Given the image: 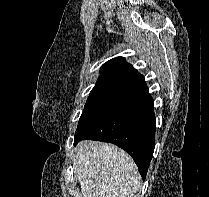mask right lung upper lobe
I'll list each match as a JSON object with an SVG mask.
<instances>
[{
	"label": "right lung upper lobe",
	"instance_id": "obj_1",
	"mask_svg": "<svg viewBox=\"0 0 209 197\" xmlns=\"http://www.w3.org/2000/svg\"><path fill=\"white\" fill-rule=\"evenodd\" d=\"M97 83H111L124 86L139 93L148 90L144 77L123 57H116L102 65Z\"/></svg>",
	"mask_w": 209,
	"mask_h": 197
}]
</instances>
